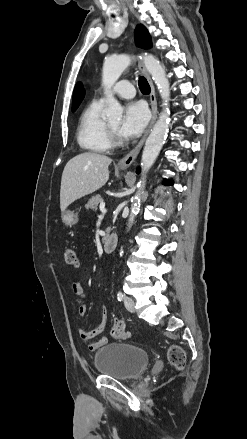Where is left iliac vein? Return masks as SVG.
Segmentation results:
<instances>
[{
  "label": "left iliac vein",
  "mask_w": 247,
  "mask_h": 439,
  "mask_svg": "<svg viewBox=\"0 0 247 439\" xmlns=\"http://www.w3.org/2000/svg\"><path fill=\"white\" fill-rule=\"evenodd\" d=\"M124 305L128 311L134 312L135 302L131 297L126 296L124 298Z\"/></svg>",
  "instance_id": "obj_1"
}]
</instances>
